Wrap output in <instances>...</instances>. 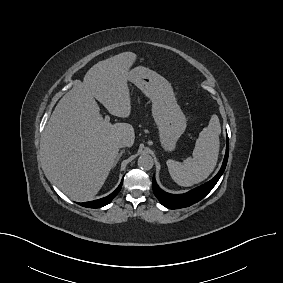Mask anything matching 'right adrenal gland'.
<instances>
[{
  "label": "right adrenal gland",
  "instance_id": "1",
  "mask_svg": "<svg viewBox=\"0 0 283 283\" xmlns=\"http://www.w3.org/2000/svg\"><path fill=\"white\" fill-rule=\"evenodd\" d=\"M123 153H124V150H122V151L118 154V156H117V158H116V160H115V162H114L112 168L116 167V165H117V163H118V161H119V159L121 158V156H122Z\"/></svg>",
  "mask_w": 283,
  "mask_h": 283
}]
</instances>
